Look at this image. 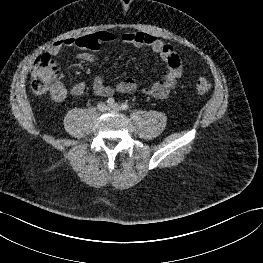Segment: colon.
<instances>
[{
	"mask_svg": "<svg viewBox=\"0 0 263 263\" xmlns=\"http://www.w3.org/2000/svg\"><path fill=\"white\" fill-rule=\"evenodd\" d=\"M58 63L49 55L42 54L34 62L31 72V87L38 94L51 93L58 84ZM195 89L200 94H205L211 89V83L206 78H199Z\"/></svg>",
	"mask_w": 263,
	"mask_h": 263,
	"instance_id": "5ec220e1",
	"label": "colon"
}]
</instances>
